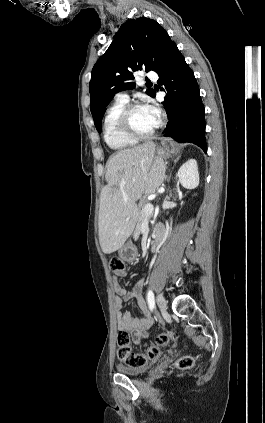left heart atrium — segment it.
I'll use <instances>...</instances> for the list:
<instances>
[{
    "label": "left heart atrium",
    "mask_w": 265,
    "mask_h": 423,
    "mask_svg": "<svg viewBox=\"0 0 265 423\" xmlns=\"http://www.w3.org/2000/svg\"><path fill=\"white\" fill-rule=\"evenodd\" d=\"M146 108L148 109V111L152 115V117L158 122L159 119H160V112H159L158 108L153 106V105L146 106Z\"/></svg>",
    "instance_id": "left-heart-atrium-1"
}]
</instances>
